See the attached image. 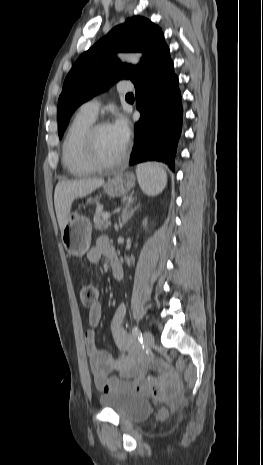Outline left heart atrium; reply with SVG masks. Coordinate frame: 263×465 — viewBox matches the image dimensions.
<instances>
[{
	"label": "left heart atrium",
	"instance_id": "left-heart-atrium-1",
	"mask_svg": "<svg viewBox=\"0 0 263 465\" xmlns=\"http://www.w3.org/2000/svg\"><path fill=\"white\" fill-rule=\"evenodd\" d=\"M110 127L117 139L126 146L130 138V127L126 118L118 116Z\"/></svg>",
	"mask_w": 263,
	"mask_h": 465
}]
</instances>
